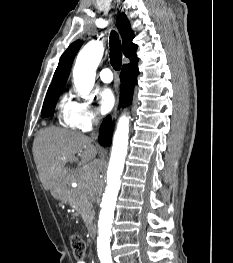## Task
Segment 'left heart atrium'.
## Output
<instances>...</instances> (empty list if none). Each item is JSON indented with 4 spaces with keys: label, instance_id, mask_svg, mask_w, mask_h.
<instances>
[{
    "label": "left heart atrium",
    "instance_id": "1",
    "mask_svg": "<svg viewBox=\"0 0 233 263\" xmlns=\"http://www.w3.org/2000/svg\"><path fill=\"white\" fill-rule=\"evenodd\" d=\"M100 107L102 114L110 112L115 105V96L110 88H103L99 93Z\"/></svg>",
    "mask_w": 233,
    "mask_h": 263
}]
</instances>
